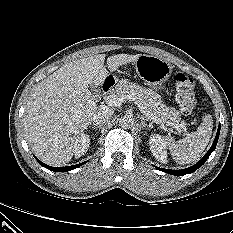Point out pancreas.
<instances>
[{
  "mask_svg": "<svg viewBox=\"0 0 233 233\" xmlns=\"http://www.w3.org/2000/svg\"><path fill=\"white\" fill-rule=\"evenodd\" d=\"M111 94L122 97L124 100L127 99L128 95H131L135 102L141 103L149 111L150 115L166 125L177 124L181 121L180 112L163 104L156 92L126 79L120 80Z\"/></svg>",
  "mask_w": 233,
  "mask_h": 233,
  "instance_id": "cf45deb5",
  "label": "pancreas"
}]
</instances>
